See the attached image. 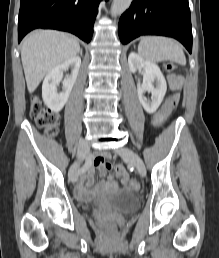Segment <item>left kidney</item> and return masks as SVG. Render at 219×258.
I'll use <instances>...</instances> for the list:
<instances>
[{"instance_id":"1","label":"left kidney","mask_w":219,"mask_h":258,"mask_svg":"<svg viewBox=\"0 0 219 258\" xmlns=\"http://www.w3.org/2000/svg\"><path fill=\"white\" fill-rule=\"evenodd\" d=\"M128 65L130 71L133 73L139 69H143V84L137 85L138 98L147 113H154L160 106L167 90L166 80L160 68L157 64L143 59L134 52L129 54ZM147 91L152 94L151 101H148L144 97V93Z\"/></svg>"}]
</instances>
